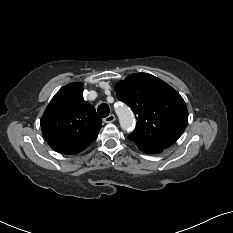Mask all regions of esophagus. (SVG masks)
<instances>
[{
    "label": "esophagus",
    "mask_w": 233,
    "mask_h": 233,
    "mask_svg": "<svg viewBox=\"0 0 233 233\" xmlns=\"http://www.w3.org/2000/svg\"><path fill=\"white\" fill-rule=\"evenodd\" d=\"M116 120V117L113 113H111L109 116H107L106 118H104V122L105 123H112Z\"/></svg>",
    "instance_id": "obj_1"
}]
</instances>
